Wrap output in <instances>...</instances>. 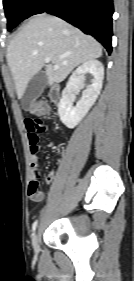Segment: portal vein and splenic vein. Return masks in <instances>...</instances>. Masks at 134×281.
<instances>
[{"instance_id":"obj_1","label":"portal vein and splenic vein","mask_w":134,"mask_h":281,"mask_svg":"<svg viewBox=\"0 0 134 281\" xmlns=\"http://www.w3.org/2000/svg\"><path fill=\"white\" fill-rule=\"evenodd\" d=\"M50 62V58L49 57H46L45 58V63H49ZM57 68V66H55Z\"/></svg>"}]
</instances>
